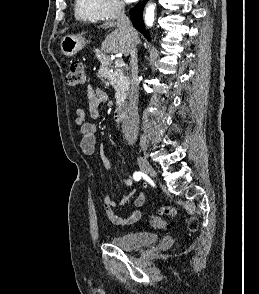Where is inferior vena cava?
<instances>
[{
  "mask_svg": "<svg viewBox=\"0 0 259 294\" xmlns=\"http://www.w3.org/2000/svg\"><path fill=\"white\" fill-rule=\"evenodd\" d=\"M116 20L118 27L125 32L128 39V47L130 54V94H129V104H128V117L130 121L135 126L139 121L138 116V91H139V81H138V65H137V51L136 45L134 43L135 30L132 27L129 18L125 15L124 6L122 3H118L116 7ZM137 138L136 127L131 129V140L134 141Z\"/></svg>",
  "mask_w": 259,
  "mask_h": 294,
  "instance_id": "inferior-vena-cava-1",
  "label": "inferior vena cava"
}]
</instances>
